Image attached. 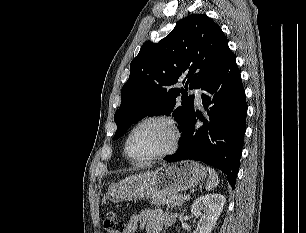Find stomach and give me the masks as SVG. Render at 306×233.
<instances>
[{"mask_svg":"<svg viewBox=\"0 0 306 233\" xmlns=\"http://www.w3.org/2000/svg\"><path fill=\"white\" fill-rule=\"evenodd\" d=\"M206 176L204 166L192 160H183L113 184L108 189L106 198L112 202H120L169 197L195 187Z\"/></svg>","mask_w":306,"mask_h":233,"instance_id":"obj_1","label":"stomach"}]
</instances>
